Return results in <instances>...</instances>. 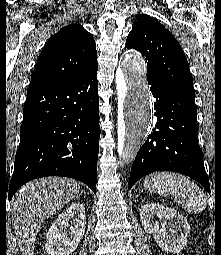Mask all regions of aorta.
<instances>
[{"instance_id":"1","label":"aorta","mask_w":221,"mask_h":255,"mask_svg":"<svg viewBox=\"0 0 221 255\" xmlns=\"http://www.w3.org/2000/svg\"><path fill=\"white\" fill-rule=\"evenodd\" d=\"M116 83L124 120L118 154L124 161L130 162L148 135L152 117L146 65L141 54L136 51L125 54L116 75Z\"/></svg>"}]
</instances>
